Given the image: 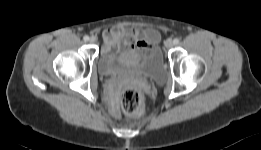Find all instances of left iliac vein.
I'll list each match as a JSON object with an SVG mask.
<instances>
[{
    "instance_id": "obj_1",
    "label": "left iliac vein",
    "mask_w": 261,
    "mask_h": 150,
    "mask_svg": "<svg viewBox=\"0 0 261 150\" xmlns=\"http://www.w3.org/2000/svg\"><path fill=\"white\" fill-rule=\"evenodd\" d=\"M173 45H174V42H173L172 39H168V40L165 42V47H166V48H171Z\"/></svg>"
}]
</instances>
